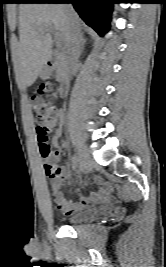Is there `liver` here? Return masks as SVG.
<instances>
[{"instance_id": "1", "label": "liver", "mask_w": 166, "mask_h": 267, "mask_svg": "<svg viewBox=\"0 0 166 267\" xmlns=\"http://www.w3.org/2000/svg\"><path fill=\"white\" fill-rule=\"evenodd\" d=\"M81 24V20L76 14ZM19 44L15 72L19 84L31 86L52 56V38L44 29L53 26L67 45L68 16L61 4L19 6Z\"/></svg>"}]
</instances>
